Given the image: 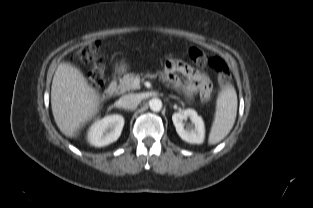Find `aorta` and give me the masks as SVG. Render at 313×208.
Returning <instances> with one entry per match:
<instances>
[{
  "label": "aorta",
  "instance_id": "762f6f07",
  "mask_svg": "<svg viewBox=\"0 0 313 208\" xmlns=\"http://www.w3.org/2000/svg\"><path fill=\"white\" fill-rule=\"evenodd\" d=\"M150 109L154 112H159L162 109V101L158 98H153L149 101Z\"/></svg>",
  "mask_w": 313,
  "mask_h": 208
}]
</instances>
